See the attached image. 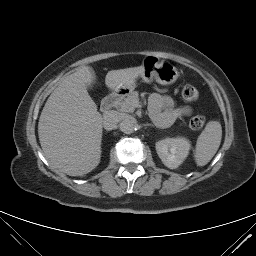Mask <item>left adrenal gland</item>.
Wrapping results in <instances>:
<instances>
[{"mask_svg":"<svg viewBox=\"0 0 256 256\" xmlns=\"http://www.w3.org/2000/svg\"><path fill=\"white\" fill-rule=\"evenodd\" d=\"M149 125H151V124H145V126H149Z\"/></svg>","mask_w":256,"mask_h":256,"instance_id":"obj_1","label":"left adrenal gland"}]
</instances>
